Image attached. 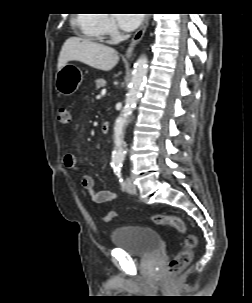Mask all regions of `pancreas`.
Returning a JSON list of instances; mask_svg holds the SVG:
<instances>
[{
  "label": "pancreas",
  "mask_w": 252,
  "mask_h": 303,
  "mask_svg": "<svg viewBox=\"0 0 252 303\" xmlns=\"http://www.w3.org/2000/svg\"><path fill=\"white\" fill-rule=\"evenodd\" d=\"M96 88L99 89L101 87H104L106 85V81L102 78L95 80Z\"/></svg>",
  "instance_id": "pancreas-1"
}]
</instances>
